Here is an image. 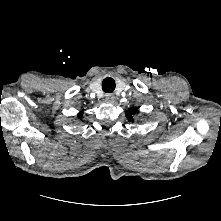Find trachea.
Masks as SVG:
<instances>
[{
	"label": "trachea",
	"instance_id": "1",
	"mask_svg": "<svg viewBox=\"0 0 221 221\" xmlns=\"http://www.w3.org/2000/svg\"><path fill=\"white\" fill-rule=\"evenodd\" d=\"M102 88L104 92L111 93L115 89V81L110 77L105 78L102 83Z\"/></svg>",
	"mask_w": 221,
	"mask_h": 221
}]
</instances>
